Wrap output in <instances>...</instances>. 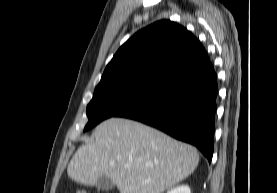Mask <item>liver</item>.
Instances as JSON below:
<instances>
[{"instance_id": "6515ba94", "label": "liver", "mask_w": 277, "mask_h": 193, "mask_svg": "<svg viewBox=\"0 0 277 193\" xmlns=\"http://www.w3.org/2000/svg\"><path fill=\"white\" fill-rule=\"evenodd\" d=\"M70 160L68 176L93 186L108 177L120 193H163L194 172L197 150L142 123L110 118Z\"/></svg>"}]
</instances>
